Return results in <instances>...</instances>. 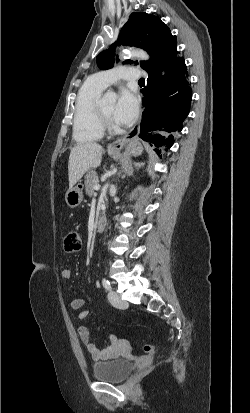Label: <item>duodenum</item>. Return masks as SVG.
<instances>
[{"label":"duodenum","instance_id":"410a0bca","mask_svg":"<svg viewBox=\"0 0 250 413\" xmlns=\"http://www.w3.org/2000/svg\"><path fill=\"white\" fill-rule=\"evenodd\" d=\"M106 224H107V218L105 216H100L96 221L95 230L97 232L104 230V228L106 227Z\"/></svg>","mask_w":250,"mask_h":413}]
</instances>
